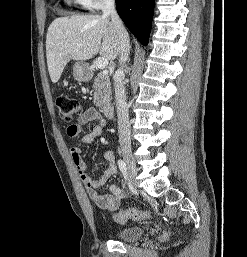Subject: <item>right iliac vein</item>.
<instances>
[{"label": "right iliac vein", "instance_id": "obj_1", "mask_svg": "<svg viewBox=\"0 0 247 257\" xmlns=\"http://www.w3.org/2000/svg\"><path fill=\"white\" fill-rule=\"evenodd\" d=\"M122 154H123V158H124V160L127 164V175H128L129 181L131 183H133L134 179H135V176L137 174V168H136L135 161H134L133 156H132V154L129 150L124 149L122 151Z\"/></svg>", "mask_w": 247, "mask_h": 257}]
</instances>
